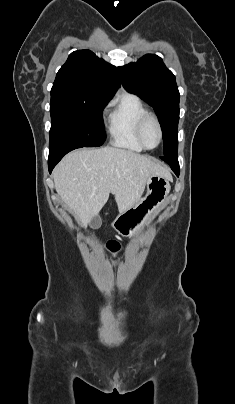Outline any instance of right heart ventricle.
I'll use <instances>...</instances> for the list:
<instances>
[{"label":"right heart ventricle","mask_w":235,"mask_h":404,"mask_svg":"<svg viewBox=\"0 0 235 404\" xmlns=\"http://www.w3.org/2000/svg\"><path fill=\"white\" fill-rule=\"evenodd\" d=\"M148 113L141 99L125 94L113 105L108 116V132L118 147L140 152L144 150L136 136L139 119Z\"/></svg>","instance_id":"1"}]
</instances>
